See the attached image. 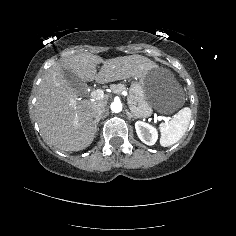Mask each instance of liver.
Here are the masks:
<instances>
[{
  "mask_svg": "<svg viewBox=\"0 0 236 236\" xmlns=\"http://www.w3.org/2000/svg\"><path fill=\"white\" fill-rule=\"evenodd\" d=\"M103 63L97 73V64ZM159 66L141 55L103 60L100 56L81 53L52 64L42 76L38 88L35 113L45 140L61 151H79L88 147L96 133L92 116L95 104L107 105V98L79 100L78 93L64 78L63 68L81 79L99 84L130 77L143 79Z\"/></svg>",
  "mask_w": 236,
  "mask_h": 236,
  "instance_id": "6515ba94",
  "label": "liver"
}]
</instances>
